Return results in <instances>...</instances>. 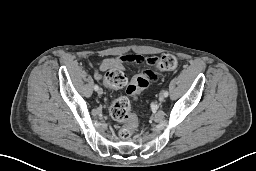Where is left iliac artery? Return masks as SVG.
Returning <instances> with one entry per match:
<instances>
[{
  "mask_svg": "<svg viewBox=\"0 0 256 171\" xmlns=\"http://www.w3.org/2000/svg\"><path fill=\"white\" fill-rule=\"evenodd\" d=\"M168 91H163V95L165 96V97H167L168 96Z\"/></svg>",
  "mask_w": 256,
  "mask_h": 171,
  "instance_id": "44dca946",
  "label": "left iliac artery"
}]
</instances>
